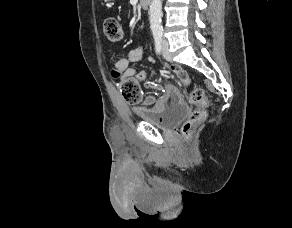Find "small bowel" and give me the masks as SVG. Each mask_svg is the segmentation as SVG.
Returning <instances> with one entry per match:
<instances>
[{
    "mask_svg": "<svg viewBox=\"0 0 292 228\" xmlns=\"http://www.w3.org/2000/svg\"><path fill=\"white\" fill-rule=\"evenodd\" d=\"M144 55L143 47H137L131 49L127 52V54L116 60L113 63V70H116L120 74V79L127 78H135L138 81H145L147 78V74L144 70L137 68H129L130 63L137 62L142 59ZM170 70L176 77L184 83L185 85L189 84L190 78L188 73L179 65L172 64L169 66ZM150 87V84H147ZM182 101V95L178 91V89L172 85L168 84L163 89V93L161 96L156 95H147L143 98L141 104L135 107L134 111L139 116L149 115V114H157L161 112L168 106L176 105Z\"/></svg>",
    "mask_w": 292,
    "mask_h": 228,
    "instance_id": "obj_1",
    "label": "small bowel"
}]
</instances>
